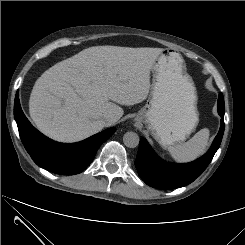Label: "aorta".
Listing matches in <instances>:
<instances>
[{
  "label": "aorta",
  "instance_id": "1",
  "mask_svg": "<svg viewBox=\"0 0 245 245\" xmlns=\"http://www.w3.org/2000/svg\"><path fill=\"white\" fill-rule=\"evenodd\" d=\"M123 142L128 148H136L139 145V136L135 132H126L123 136Z\"/></svg>",
  "mask_w": 245,
  "mask_h": 245
}]
</instances>
